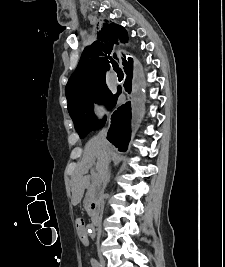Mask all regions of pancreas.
Listing matches in <instances>:
<instances>
[{
	"label": "pancreas",
	"mask_w": 225,
	"mask_h": 267,
	"mask_svg": "<svg viewBox=\"0 0 225 267\" xmlns=\"http://www.w3.org/2000/svg\"><path fill=\"white\" fill-rule=\"evenodd\" d=\"M95 189H96V187H95V185H90L89 186V189H88V192H87V194H86V202H85V204L89 201V199L93 196V194H94V192H95Z\"/></svg>",
	"instance_id": "pancreas-1"
}]
</instances>
